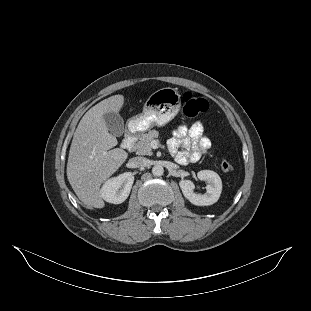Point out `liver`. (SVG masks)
Segmentation results:
<instances>
[{"instance_id":"obj_1","label":"liver","mask_w":311,"mask_h":311,"mask_svg":"<svg viewBox=\"0 0 311 311\" xmlns=\"http://www.w3.org/2000/svg\"><path fill=\"white\" fill-rule=\"evenodd\" d=\"M121 94L110 96L90 108L80 120L70 146L67 178L75 194L89 209L103 208L100 185L125 162L128 153L109 133L104 114L118 113L124 105Z\"/></svg>"}]
</instances>
